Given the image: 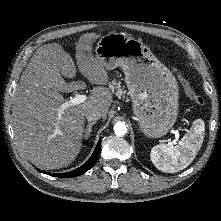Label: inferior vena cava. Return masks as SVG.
<instances>
[{"instance_id":"inferior-vena-cava-1","label":"inferior vena cava","mask_w":221,"mask_h":221,"mask_svg":"<svg viewBox=\"0 0 221 221\" xmlns=\"http://www.w3.org/2000/svg\"><path fill=\"white\" fill-rule=\"evenodd\" d=\"M85 117L88 121H96L101 118V113L98 110H90L86 112Z\"/></svg>"}]
</instances>
